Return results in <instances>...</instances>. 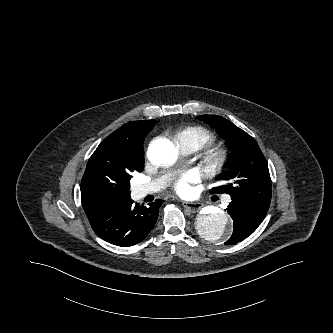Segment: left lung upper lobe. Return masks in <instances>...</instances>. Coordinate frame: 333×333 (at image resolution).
Masks as SVG:
<instances>
[{"label": "left lung upper lobe", "instance_id": "left-lung-upper-lobe-1", "mask_svg": "<svg viewBox=\"0 0 333 333\" xmlns=\"http://www.w3.org/2000/svg\"><path fill=\"white\" fill-rule=\"evenodd\" d=\"M198 119L216 128L236 154L232 171L219 177L227 183L212 188L210 192L227 193L231 199L269 206L271 178L266 159L255 139L221 116L201 115Z\"/></svg>", "mask_w": 333, "mask_h": 333}]
</instances>
